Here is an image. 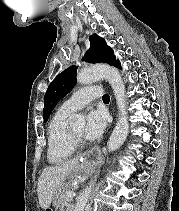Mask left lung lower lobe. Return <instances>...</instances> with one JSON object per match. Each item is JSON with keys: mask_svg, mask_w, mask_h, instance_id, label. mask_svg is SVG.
Masks as SVG:
<instances>
[{"mask_svg": "<svg viewBox=\"0 0 179 211\" xmlns=\"http://www.w3.org/2000/svg\"><path fill=\"white\" fill-rule=\"evenodd\" d=\"M116 67L121 68V66H120V63H119V62L116 64Z\"/></svg>", "mask_w": 179, "mask_h": 211, "instance_id": "left-lung-lower-lobe-1", "label": "left lung lower lobe"}]
</instances>
